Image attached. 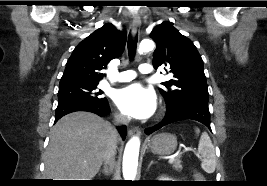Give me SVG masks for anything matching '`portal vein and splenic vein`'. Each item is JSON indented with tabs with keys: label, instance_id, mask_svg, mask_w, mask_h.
Listing matches in <instances>:
<instances>
[{
	"label": "portal vein and splenic vein",
	"instance_id": "1",
	"mask_svg": "<svg viewBox=\"0 0 267 186\" xmlns=\"http://www.w3.org/2000/svg\"><path fill=\"white\" fill-rule=\"evenodd\" d=\"M176 158H177L176 155L171 156L170 159H169V163H170V164L173 163V161H174Z\"/></svg>",
	"mask_w": 267,
	"mask_h": 186
}]
</instances>
